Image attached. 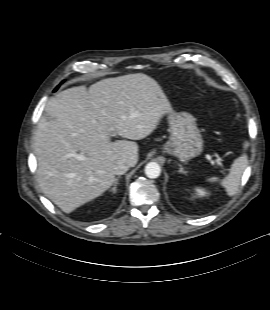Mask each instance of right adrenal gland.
I'll return each mask as SVG.
<instances>
[{"instance_id":"2a0ac1e0","label":"right adrenal gland","mask_w":270,"mask_h":310,"mask_svg":"<svg viewBox=\"0 0 270 310\" xmlns=\"http://www.w3.org/2000/svg\"><path fill=\"white\" fill-rule=\"evenodd\" d=\"M119 179H120V176L117 177V178H115V182H114V184H113V187H112L111 190H110V192H112L113 194H115L116 191H117V185H118Z\"/></svg>"}]
</instances>
